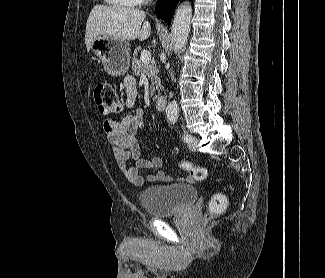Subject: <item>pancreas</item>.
Instances as JSON below:
<instances>
[{"label": "pancreas", "mask_w": 325, "mask_h": 278, "mask_svg": "<svg viewBox=\"0 0 325 278\" xmlns=\"http://www.w3.org/2000/svg\"><path fill=\"white\" fill-rule=\"evenodd\" d=\"M132 72L136 76H140L141 74L144 73L151 81V85H150L151 96L157 97L155 95V91L161 89V80L157 76L159 71L156 68V65L154 63L144 65L142 64L140 59L134 57L132 59Z\"/></svg>", "instance_id": "1"}]
</instances>
